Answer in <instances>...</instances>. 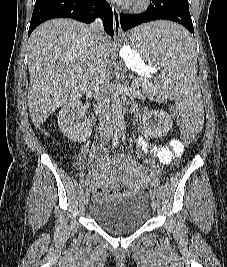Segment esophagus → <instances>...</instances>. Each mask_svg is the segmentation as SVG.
Segmentation results:
<instances>
[{
    "mask_svg": "<svg viewBox=\"0 0 227 267\" xmlns=\"http://www.w3.org/2000/svg\"><path fill=\"white\" fill-rule=\"evenodd\" d=\"M112 11H113L114 35L116 37H119L122 34V29H121V24H120V11L114 5L112 6Z\"/></svg>",
    "mask_w": 227,
    "mask_h": 267,
    "instance_id": "obj_1",
    "label": "esophagus"
}]
</instances>
